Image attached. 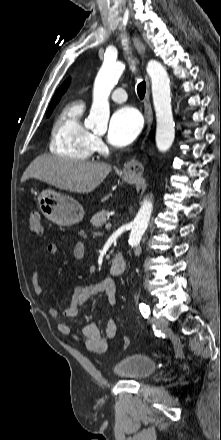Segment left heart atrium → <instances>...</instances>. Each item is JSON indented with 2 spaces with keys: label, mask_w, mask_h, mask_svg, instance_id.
I'll return each instance as SVG.
<instances>
[{
  "label": "left heart atrium",
  "mask_w": 221,
  "mask_h": 440,
  "mask_svg": "<svg viewBox=\"0 0 221 440\" xmlns=\"http://www.w3.org/2000/svg\"><path fill=\"white\" fill-rule=\"evenodd\" d=\"M142 126L141 116L132 107H122L111 117L108 129L109 142L117 147L130 144Z\"/></svg>",
  "instance_id": "39dd6f15"
}]
</instances>
